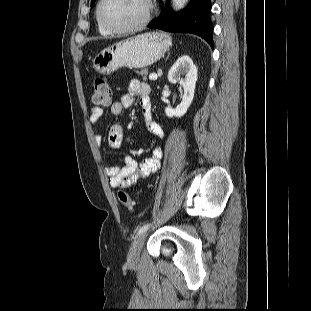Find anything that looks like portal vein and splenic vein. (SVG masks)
I'll use <instances>...</instances> for the list:
<instances>
[{
	"label": "portal vein and splenic vein",
	"instance_id": "obj_1",
	"mask_svg": "<svg viewBox=\"0 0 311 311\" xmlns=\"http://www.w3.org/2000/svg\"><path fill=\"white\" fill-rule=\"evenodd\" d=\"M158 78L157 74L156 73H152L149 75V79L150 80H156Z\"/></svg>",
	"mask_w": 311,
	"mask_h": 311
}]
</instances>
